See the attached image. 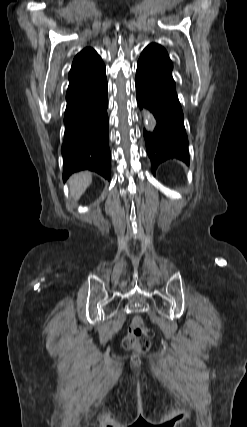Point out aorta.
Instances as JSON below:
<instances>
[{"label": "aorta", "mask_w": 247, "mask_h": 427, "mask_svg": "<svg viewBox=\"0 0 247 427\" xmlns=\"http://www.w3.org/2000/svg\"><path fill=\"white\" fill-rule=\"evenodd\" d=\"M144 113V126L152 131L156 127V120L151 112H149L147 109L143 110Z\"/></svg>", "instance_id": "1"}]
</instances>
